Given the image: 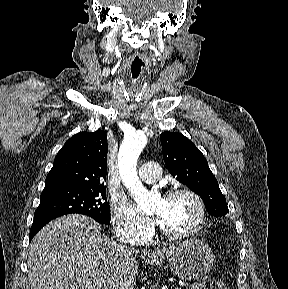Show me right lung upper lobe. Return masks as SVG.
Segmentation results:
<instances>
[{
  "mask_svg": "<svg viewBox=\"0 0 288 289\" xmlns=\"http://www.w3.org/2000/svg\"><path fill=\"white\" fill-rule=\"evenodd\" d=\"M107 151V136L102 130L74 135L55 157L45 189L105 187Z\"/></svg>",
  "mask_w": 288,
  "mask_h": 289,
  "instance_id": "cb5924a9",
  "label": "right lung upper lobe"
}]
</instances>
